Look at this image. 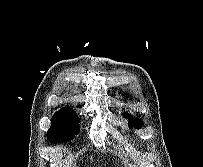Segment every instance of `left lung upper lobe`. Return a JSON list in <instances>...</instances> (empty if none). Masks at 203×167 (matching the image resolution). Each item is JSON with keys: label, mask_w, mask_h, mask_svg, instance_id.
Instances as JSON below:
<instances>
[{"label": "left lung upper lobe", "mask_w": 203, "mask_h": 167, "mask_svg": "<svg viewBox=\"0 0 203 167\" xmlns=\"http://www.w3.org/2000/svg\"><path fill=\"white\" fill-rule=\"evenodd\" d=\"M124 116L129 118V127L136 126L138 129L143 126V121L139 118H132L131 115H129L127 112L124 113Z\"/></svg>", "instance_id": "left-lung-upper-lobe-1"}]
</instances>
